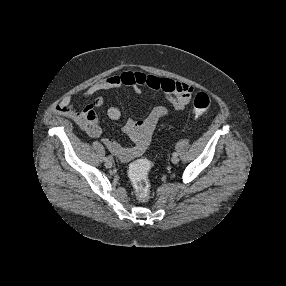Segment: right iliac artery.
Returning <instances> with one entry per match:
<instances>
[{
    "mask_svg": "<svg viewBox=\"0 0 286 286\" xmlns=\"http://www.w3.org/2000/svg\"><path fill=\"white\" fill-rule=\"evenodd\" d=\"M109 160H112V157H110V156L104 157V161H105V162H106V161H109Z\"/></svg>",
    "mask_w": 286,
    "mask_h": 286,
    "instance_id": "right-iliac-artery-1",
    "label": "right iliac artery"
}]
</instances>
